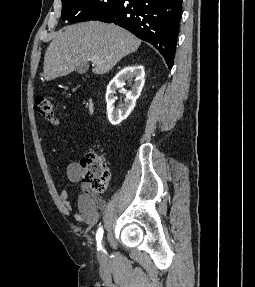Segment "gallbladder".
<instances>
[{
	"mask_svg": "<svg viewBox=\"0 0 255 287\" xmlns=\"http://www.w3.org/2000/svg\"><path fill=\"white\" fill-rule=\"evenodd\" d=\"M82 70H88L87 66H84V68H79L78 74H84V72H82Z\"/></svg>",
	"mask_w": 255,
	"mask_h": 287,
	"instance_id": "obj_1",
	"label": "gallbladder"
}]
</instances>
